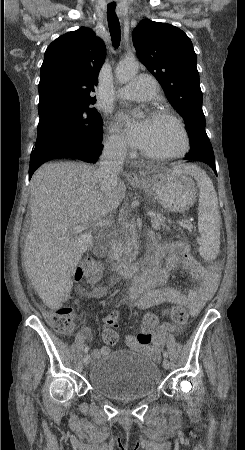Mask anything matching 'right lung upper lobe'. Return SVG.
<instances>
[{
  "mask_svg": "<svg viewBox=\"0 0 245 450\" xmlns=\"http://www.w3.org/2000/svg\"><path fill=\"white\" fill-rule=\"evenodd\" d=\"M105 59L103 41L87 28L68 32L46 49L40 71L38 109L56 103L92 105Z\"/></svg>",
  "mask_w": 245,
  "mask_h": 450,
  "instance_id": "cb5924a9",
  "label": "right lung upper lobe"
}]
</instances>
